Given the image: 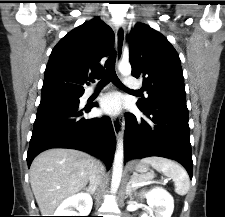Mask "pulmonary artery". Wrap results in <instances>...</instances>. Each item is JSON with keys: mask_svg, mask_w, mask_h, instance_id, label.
Instances as JSON below:
<instances>
[{"mask_svg": "<svg viewBox=\"0 0 225 217\" xmlns=\"http://www.w3.org/2000/svg\"><path fill=\"white\" fill-rule=\"evenodd\" d=\"M125 83L129 88H132V89H136L139 87V85L131 78L126 79ZM96 90H97V88H94V87L88 88V90L86 92V96L92 95Z\"/></svg>", "mask_w": 225, "mask_h": 217, "instance_id": "e3ab8cb5", "label": "pulmonary artery"}]
</instances>
